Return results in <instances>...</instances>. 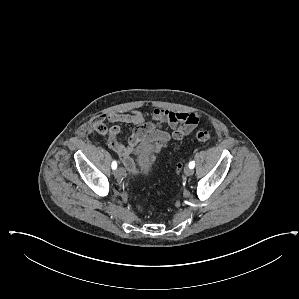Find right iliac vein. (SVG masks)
<instances>
[{"label": "right iliac vein", "mask_w": 299, "mask_h": 299, "mask_svg": "<svg viewBox=\"0 0 299 299\" xmlns=\"http://www.w3.org/2000/svg\"><path fill=\"white\" fill-rule=\"evenodd\" d=\"M114 175L116 178L120 179L124 176V170L122 168H118L114 171Z\"/></svg>", "instance_id": "right-iliac-vein-1"}]
</instances>
